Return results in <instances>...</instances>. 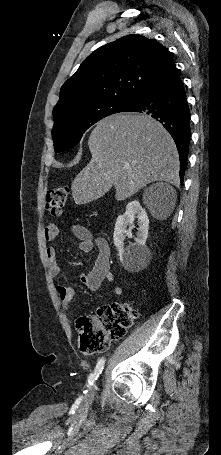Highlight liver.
Returning a JSON list of instances; mask_svg holds the SVG:
<instances>
[{
    "label": "liver",
    "mask_w": 221,
    "mask_h": 455,
    "mask_svg": "<svg viewBox=\"0 0 221 455\" xmlns=\"http://www.w3.org/2000/svg\"><path fill=\"white\" fill-rule=\"evenodd\" d=\"M92 158L71 185L77 205L87 204L114 185L123 201L147 184L179 185V156L166 129L145 114L118 113L97 123L88 140Z\"/></svg>",
    "instance_id": "liver-1"
}]
</instances>
